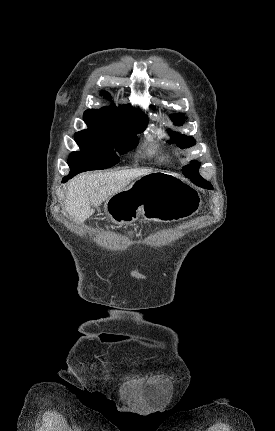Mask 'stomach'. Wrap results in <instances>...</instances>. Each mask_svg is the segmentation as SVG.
Here are the masks:
<instances>
[{"label": "stomach", "mask_w": 275, "mask_h": 431, "mask_svg": "<svg viewBox=\"0 0 275 431\" xmlns=\"http://www.w3.org/2000/svg\"><path fill=\"white\" fill-rule=\"evenodd\" d=\"M200 194L179 177L152 172L110 197L104 211L116 224L129 225L140 216L147 221L175 222L196 214Z\"/></svg>", "instance_id": "1"}]
</instances>
